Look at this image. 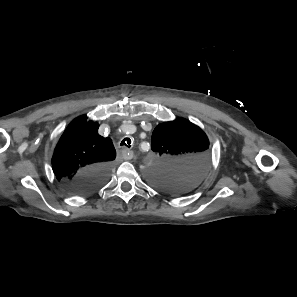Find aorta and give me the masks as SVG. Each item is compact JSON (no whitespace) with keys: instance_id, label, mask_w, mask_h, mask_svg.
I'll use <instances>...</instances> for the list:
<instances>
[{"instance_id":"1","label":"aorta","mask_w":297,"mask_h":297,"mask_svg":"<svg viewBox=\"0 0 297 297\" xmlns=\"http://www.w3.org/2000/svg\"><path fill=\"white\" fill-rule=\"evenodd\" d=\"M154 172V170H151L148 172L149 176Z\"/></svg>"}]
</instances>
